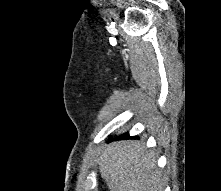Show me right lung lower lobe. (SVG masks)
I'll return each mask as SVG.
<instances>
[{
	"instance_id": "1",
	"label": "right lung lower lobe",
	"mask_w": 221,
	"mask_h": 191,
	"mask_svg": "<svg viewBox=\"0 0 221 191\" xmlns=\"http://www.w3.org/2000/svg\"><path fill=\"white\" fill-rule=\"evenodd\" d=\"M119 138H121V139H126V138H129V135H128V134H123V135H121Z\"/></svg>"
}]
</instances>
